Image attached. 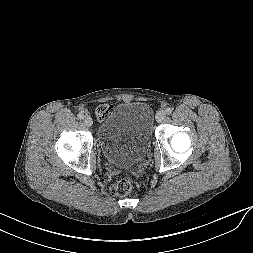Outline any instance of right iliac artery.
<instances>
[{"label": "right iliac artery", "instance_id": "1", "mask_svg": "<svg viewBox=\"0 0 253 253\" xmlns=\"http://www.w3.org/2000/svg\"><path fill=\"white\" fill-rule=\"evenodd\" d=\"M77 117H78L79 119H84V114L80 112V113H78Z\"/></svg>", "mask_w": 253, "mask_h": 253}]
</instances>
